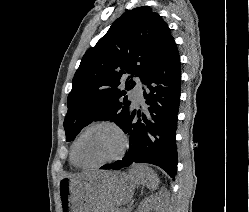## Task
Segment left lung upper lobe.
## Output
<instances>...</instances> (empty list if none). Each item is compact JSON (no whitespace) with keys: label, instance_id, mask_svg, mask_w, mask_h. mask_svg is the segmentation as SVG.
<instances>
[{"label":"left lung upper lobe","instance_id":"5c2ea615","mask_svg":"<svg viewBox=\"0 0 249 212\" xmlns=\"http://www.w3.org/2000/svg\"><path fill=\"white\" fill-rule=\"evenodd\" d=\"M167 24L149 7L126 11L108 32L83 56L68 95L64 121L66 141L96 120H110L121 126L131 111L128 90L141 82L173 41ZM126 79V90L118 88Z\"/></svg>","mask_w":249,"mask_h":212}]
</instances>
